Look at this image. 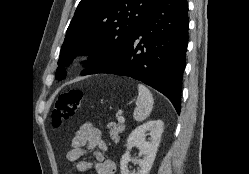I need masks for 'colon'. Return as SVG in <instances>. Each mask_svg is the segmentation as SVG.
Returning a JSON list of instances; mask_svg holds the SVG:
<instances>
[{"label":"colon","mask_w":249,"mask_h":174,"mask_svg":"<svg viewBox=\"0 0 249 174\" xmlns=\"http://www.w3.org/2000/svg\"><path fill=\"white\" fill-rule=\"evenodd\" d=\"M83 96V91L78 88H70L63 91L58 96L54 106L52 114L53 125L60 126L73 117L83 100Z\"/></svg>","instance_id":"5ec220e1"}]
</instances>
